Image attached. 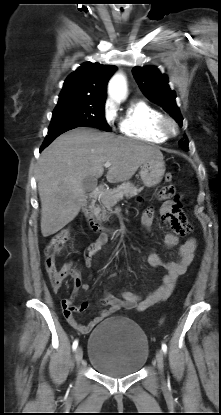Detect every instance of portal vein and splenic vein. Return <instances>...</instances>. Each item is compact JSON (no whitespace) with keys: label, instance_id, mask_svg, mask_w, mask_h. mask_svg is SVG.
Returning <instances> with one entry per match:
<instances>
[{"label":"portal vein and splenic vein","instance_id":"portal-vein-and-splenic-vein-1","mask_svg":"<svg viewBox=\"0 0 221 415\" xmlns=\"http://www.w3.org/2000/svg\"><path fill=\"white\" fill-rule=\"evenodd\" d=\"M104 166L105 167H110L111 166V163L109 161H107V162L104 163Z\"/></svg>","mask_w":221,"mask_h":415}]
</instances>
